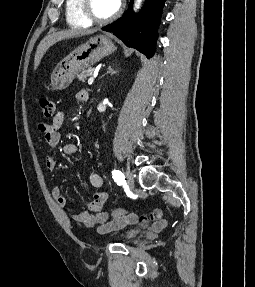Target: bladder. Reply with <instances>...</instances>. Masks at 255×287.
Returning a JSON list of instances; mask_svg holds the SVG:
<instances>
[{"label": "bladder", "instance_id": "bladder-1", "mask_svg": "<svg viewBox=\"0 0 255 287\" xmlns=\"http://www.w3.org/2000/svg\"><path fill=\"white\" fill-rule=\"evenodd\" d=\"M139 231V228L134 226L126 227L119 232L118 237L122 240H131L139 234Z\"/></svg>", "mask_w": 255, "mask_h": 287}]
</instances>
